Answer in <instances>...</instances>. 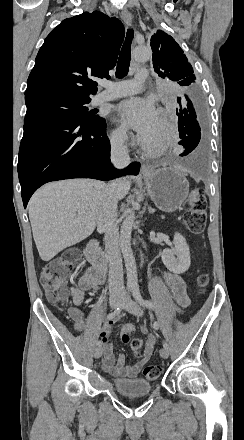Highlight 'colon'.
Listing matches in <instances>:
<instances>
[{
    "label": "colon",
    "instance_id": "obj_1",
    "mask_svg": "<svg viewBox=\"0 0 244 440\" xmlns=\"http://www.w3.org/2000/svg\"><path fill=\"white\" fill-rule=\"evenodd\" d=\"M206 200L204 192L201 188L195 189L191 199L190 205L186 208L185 223L192 234H200L206 225ZM81 251L78 248H65V257L61 260L51 261L46 265L43 273L40 276V284L45 291L48 298L53 302L65 301L69 292L66 287L68 276L73 272L75 262L78 261ZM198 286L203 287L208 283L206 275H199L196 278ZM68 314H74L75 318L81 317L79 305H68ZM133 324H128L124 329L126 331L134 330ZM122 330L120 333L121 341L129 342L127 332ZM131 349L136 357L140 356L144 343L141 339L135 338L130 343ZM161 373V367L155 364L148 365L143 371V377L146 381H155Z\"/></svg>",
    "mask_w": 244,
    "mask_h": 440
}]
</instances>
